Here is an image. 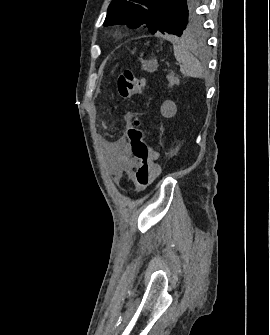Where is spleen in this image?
I'll use <instances>...</instances> for the list:
<instances>
[{"label": "spleen", "instance_id": "1", "mask_svg": "<svg viewBox=\"0 0 270 335\" xmlns=\"http://www.w3.org/2000/svg\"><path fill=\"white\" fill-rule=\"evenodd\" d=\"M171 42L174 46V56L177 62L182 64L180 66L181 74H183V76H191V78H200L203 72L202 66L199 60L188 52L183 38H173Z\"/></svg>", "mask_w": 270, "mask_h": 335}]
</instances>
